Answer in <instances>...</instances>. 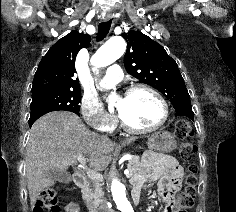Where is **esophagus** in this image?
Wrapping results in <instances>:
<instances>
[{"label":"esophagus","instance_id":"1","mask_svg":"<svg viewBox=\"0 0 236 212\" xmlns=\"http://www.w3.org/2000/svg\"><path fill=\"white\" fill-rule=\"evenodd\" d=\"M111 18H112V14H111V13H107V14H105V15L103 16V19H104L105 21H109Z\"/></svg>","mask_w":236,"mask_h":212}]
</instances>
